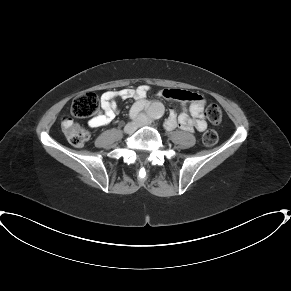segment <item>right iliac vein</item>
<instances>
[{
  "label": "right iliac vein",
  "instance_id": "right-iliac-vein-1",
  "mask_svg": "<svg viewBox=\"0 0 291 291\" xmlns=\"http://www.w3.org/2000/svg\"><path fill=\"white\" fill-rule=\"evenodd\" d=\"M138 127H139L138 120L132 121L125 126L124 132L127 134L134 133L138 129Z\"/></svg>",
  "mask_w": 291,
  "mask_h": 291
}]
</instances>
